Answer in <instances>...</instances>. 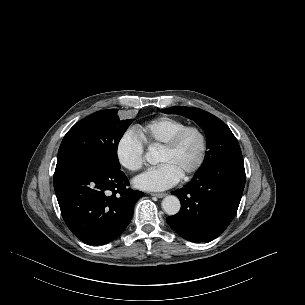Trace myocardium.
<instances>
[{
	"mask_svg": "<svg viewBox=\"0 0 305 305\" xmlns=\"http://www.w3.org/2000/svg\"><path fill=\"white\" fill-rule=\"evenodd\" d=\"M190 132L196 133L201 142L200 156L197 163L185 174L183 178L188 179L194 176L200 169L204 166L207 154H208V140L205 132L202 128L194 125H187L186 127L175 133L161 148L160 150L172 151L174 150L182 141V139Z\"/></svg>",
	"mask_w": 305,
	"mask_h": 305,
	"instance_id": "myocardium-1",
	"label": "myocardium"
}]
</instances>
